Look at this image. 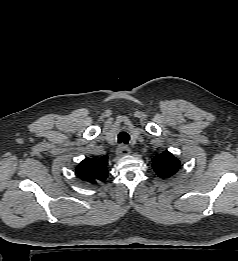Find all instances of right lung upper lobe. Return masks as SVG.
Here are the masks:
<instances>
[{
  "label": "right lung upper lobe",
  "mask_w": 238,
  "mask_h": 261,
  "mask_svg": "<svg viewBox=\"0 0 238 261\" xmlns=\"http://www.w3.org/2000/svg\"><path fill=\"white\" fill-rule=\"evenodd\" d=\"M108 157L102 156L101 158H85L76 167L77 175L84 181L96 184L97 182L104 181L107 178V164Z\"/></svg>",
  "instance_id": "right-lung-upper-lobe-1"
}]
</instances>
